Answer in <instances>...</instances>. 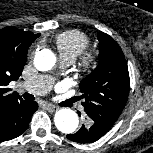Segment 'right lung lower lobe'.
<instances>
[{"label": "right lung lower lobe", "mask_w": 153, "mask_h": 153, "mask_svg": "<svg viewBox=\"0 0 153 153\" xmlns=\"http://www.w3.org/2000/svg\"><path fill=\"white\" fill-rule=\"evenodd\" d=\"M38 109L36 102L19 101L0 114V141L20 136L27 129L33 113Z\"/></svg>", "instance_id": "98d812e1"}]
</instances>
